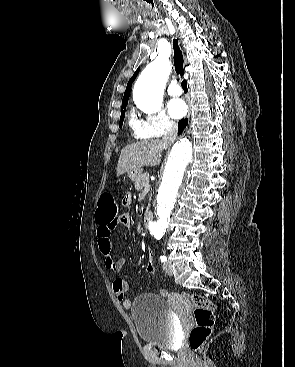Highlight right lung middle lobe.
I'll return each mask as SVG.
<instances>
[{"instance_id":"right-lung-middle-lobe-1","label":"right lung middle lobe","mask_w":295,"mask_h":367,"mask_svg":"<svg viewBox=\"0 0 295 367\" xmlns=\"http://www.w3.org/2000/svg\"><path fill=\"white\" fill-rule=\"evenodd\" d=\"M126 106H127V104L122 105V110H121V117H120L119 127H122V124H123V118H124V114H125V110H126Z\"/></svg>"}]
</instances>
